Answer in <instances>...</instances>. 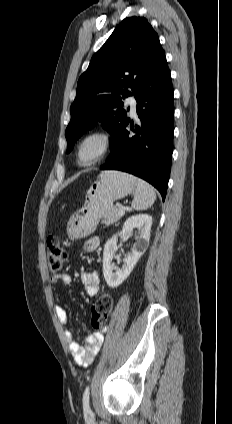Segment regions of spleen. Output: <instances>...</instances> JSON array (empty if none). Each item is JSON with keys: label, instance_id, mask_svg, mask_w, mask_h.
I'll return each instance as SVG.
<instances>
[{"label": "spleen", "instance_id": "3e777b00", "mask_svg": "<svg viewBox=\"0 0 232 424\" xmlns=\"http://www.w3.org/2000/svg\"><path fill=\"white\" fill-rule=\"evenodd\" d=\"M136 190L132 201L133 209L137 211L146 210L153 205L156 200L154 188L146 181L135 178Z\"/></svg>", "mask_w": 232, "mask_h": 424}]
</instances>
